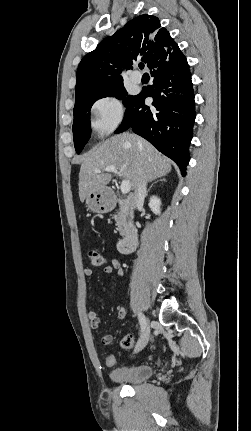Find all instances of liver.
Here are the masks:
<instances>
[{"label":"liver","mask_w":251,"mask_h":431,"mask_svg":"<svg viewBox=\"0 0 251 431\" xmlns=\"http://www.w3.org/2000/svg\"><path fill=\"white\" fill-rule=\"evenodd\" d=\"M115 166L121 176L136 190L141 174L146 181L167 175L171 161L145 139L131 133L110 137L91 150L83 159L79 172V197L83 202L89 193L104 189L112 176L102 171ZM101 170L96 173L95 170Z\"/></svg>","instance_id":"1"}]
</instances>
